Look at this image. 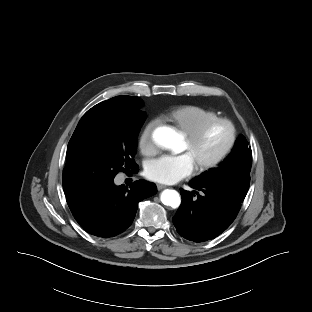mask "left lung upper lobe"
I'll return each instance as SVG.
<instances>
[{
  "instance_id": "left-lung-upper-lobe-1",
  "label": "left lung upper lobe",
  "mask_w": 312,
  "mask_h": 312,
  "mask_svg": "<svg viewBox=\"0 0 312 312\" xmlns=\"http://www.w3.org/2000/svg\"><path fill=\"white\" fill-rule=\"evenodd\" d=\"M251 164V147H248L246 138L240 135L234 149L222 164L193 180L225 185L244 200L250 185Z\"/></svg>"
}]
</instances>
